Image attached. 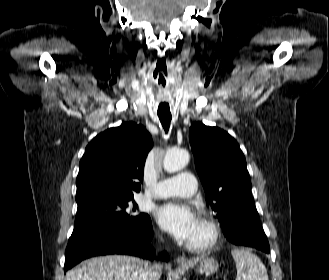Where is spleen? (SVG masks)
<instances>
[{
	"mask_svg": "<svg viewBox=\"0 0 329 280\" xmlns=\"http://www.w3.org/2000/svg\"><path fill=\"white\" fill-rule=\"evenodd\" d=\"M236 263V280H269L267 270L262 261L245 249L231 251Z\"/></svg>",
	"mask_w": 329,
	"mask_h": 280,
	"instance_id": "1",
	"label": "spleen"
}]
</instances>
